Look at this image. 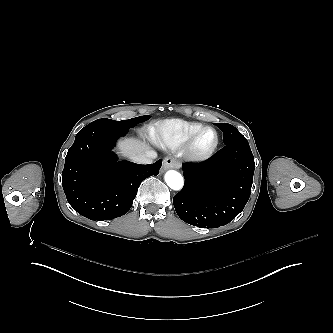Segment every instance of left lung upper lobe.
I'll use <instances>...</instances> for the list:
<instances>
[{"instance_id":"5c2ea615","label":"left lung upper lobe","mask_w":333,"mask_h":333,"mask_svg":"<svg viewBox=\"0 0 333 333\" xmlns=\"http://www.w3.org/2000/svg\"><path fill=\"white\" fill-rule=\"evenodd\" d=\"M223 132L224 144H228L233 140L245 138L234 126L226 123H215Z\"/></svg>"}]
</instances>
